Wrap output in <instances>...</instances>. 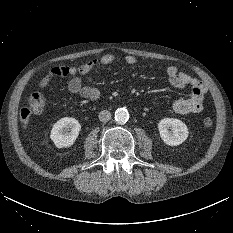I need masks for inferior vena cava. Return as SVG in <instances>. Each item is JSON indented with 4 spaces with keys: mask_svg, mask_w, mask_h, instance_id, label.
Here are the masks:
<instances>
[{
    "mask_svg": "<svg viewBox=\"0 0 233 233\" xmlns=\"http://www.w3.org/2000/svg\"><path fill=\"white\" fill-rule=\"evenodd\" d=\"M111 119V113L108 110H103L99 113V120L101 122H108Z\"/></svg>",
    "mask_w": 233,
    "mask_h": 233,
    "instance_id": "obj_1",
    "label": "inferior vena cava"
}]
</instances>
